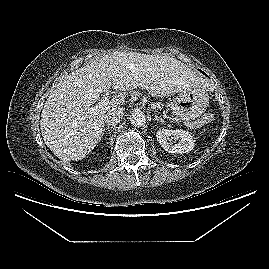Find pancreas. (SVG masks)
Instances as JSON below:
<instances>
[{
	"mask_svg": "<svg viewBox=\"0 0 269 269\" xmlns=\"http://www.w3.org/2000/svg\"><path fill=\"white\" fill-rule=\"evenodd\" d=\"M139 93L137 91H131V95H138Z\"/></svg>",
	"mask_w": 269,
	"mask_h": 269,
	"instance_id": "cf45deb5",
	"label": "pancreas"
}]
</instances>
